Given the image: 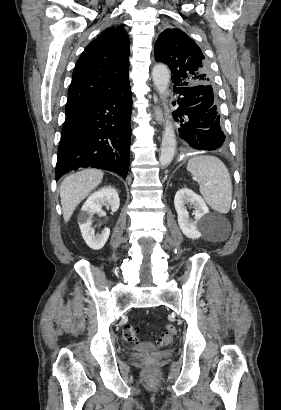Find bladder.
I'll return each instance as SVG.
<instances>
[{"instance_id":"bladder-1","label":"bladder","mask_w":281,"mask_h":410,"mask_svg":"<svg viewBox=\"0 0 281 410\" xmlns=\"http://www.w3.org/2000/svg\"><path fill=\"white\" fill-rule=\"evenodd\" d=\"M155 347L152 343H139L134 345L133 349L136 351H150L153 350Z\"/></svg>"}]
</instances>
